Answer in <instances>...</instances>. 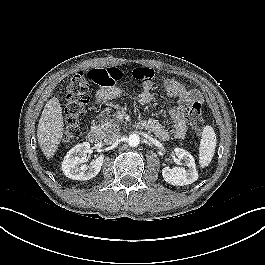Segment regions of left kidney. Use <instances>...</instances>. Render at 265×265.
I'll return each instance as SVG.
<instances>
[{"label":"left kidney","mask_w":265,"mask_h":265,"mask_svg":"<svg viewBox=\"0 0 265 265\" xmlns=\"http://www.w3.org/2000/svg\"><path fill=\"white\" fill-rule=\"evenodd\" d=\"M174 152L180 160L184 161L188 169L185 170L183 167H165L162 169L164 180L176 186L188 185L195 182L198 179V173L193 156L182 148H175Z\"/></svg>","instance_id":"left-kidney-1"}]
</instances>
